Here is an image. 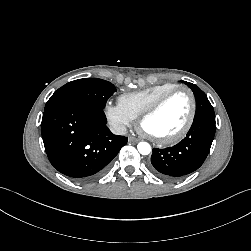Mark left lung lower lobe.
<instances>
[{
  "label": "left lung lower lobe",
  "mask_w": 251,
  "mask_h": 251,
  "mask_svg": "<svg viewBox=\"0 0 251 251\" xmlns=\"http://www.w3.org/2000/svg\"><path fill=\"white\" fill-rule=\"evenodd\" d=\"M215 135V117L194 119L186 137L173 147L154 148L150 169L157 176L175 180L197 170L205 161Z\"/></svg>",
  "instance_id": "obj_1"
}]
</instances>
